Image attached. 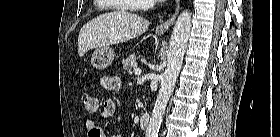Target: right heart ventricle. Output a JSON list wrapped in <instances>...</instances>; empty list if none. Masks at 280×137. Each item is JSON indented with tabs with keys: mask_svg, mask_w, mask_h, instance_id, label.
<instances>
[{
	"mask_svg": "<svg viewBox=\"0 0 280 137\" xmlns=\"http://www.w3.org/2000/svg\"><path fill=\"white\" fill-rule=\"evenodd\" d=\"M97 1H102V0H97ZM123 1L135 2V1H133V0H123ZM120 9L124 10V9H126V8H120Z\"/></svg>",
	"mask_w": 280,
	"mask_h": 137,
	"instance_id": "1",
	"label": "right heart ventricle"
}]
</instances>
